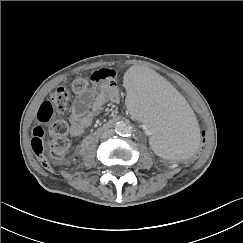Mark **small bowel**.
I'll return each mask as SVG.
<instances>
[{"instance_id":"1","label":"small bowel","mask_w":243,"mask_h":243,"mask_svg":"<svg viewBox=\"0 0 243 243\" xmlns=\"http://www.w3.org/2000/svg\"><path fill=\"white\" fill-rule=\"evenodd\" d=\"M108 70H111L114 74L111 83L98 84L93 82L91 89L80 93L74 100L69 118L70 134L72 136H80L91 125L106 103L119 102L120 93L116 82V72L112 69Z\"/></svg>"}]
</instances>
